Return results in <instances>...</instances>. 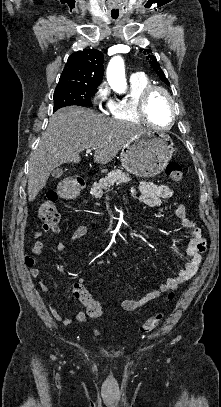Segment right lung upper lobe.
<instances>
[{"instance_id": "obj_1", "label": "right lung upper lobe", "mask_w": 221, "mask_h": 407, "mask_svg": "<svg viewBox=\"0 0 221 407\" xmlns=\"http://www.w3.org/2000/svg\"><path fill=\"white\" fill-rule=\"evenodd\" d=\"M103 61L102 52L94 49H84L71 54L56 88L65 86H99L104 74Z\"/></svg>"}]
</instances>
